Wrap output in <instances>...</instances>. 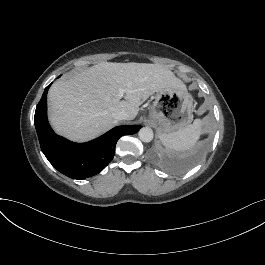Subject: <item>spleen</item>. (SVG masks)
<instances>
[{"label": "spleen", "instance_id": "3e777b00", "mask_svg": "<svg viewBox=\"0 0 265 265\" xmlns=\"http://www.w3.org/2000/svg\"><path fill=\"white\" fill-rule=\"evenodd\" d=\"M201 135V120L195 119L193 124L172 133H160L159 139L168 150H190Z\"/></svg>", "mask_w": 265, "mask_h": 265}]
</instances>
